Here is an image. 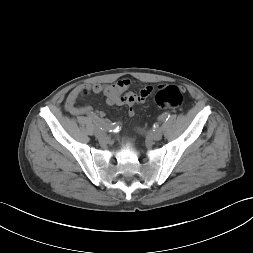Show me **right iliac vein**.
<instances>
[{"instance_id": "63e3f726", "label": "right iliac vein", "mask_w": 253, "mask_h": 253, "mask_svg": "<svg viewBox=\"0 0 253 253\" xmlns=\"http://www.w3.org/2000/svg\"><path fill=\"white\" fill-rule=\"evenodd\" d=\"M95 136L98 139H103L106 136V132L103 129H101L100 127L96 126V128H95Z\"/></svg>"}]
</instances>
